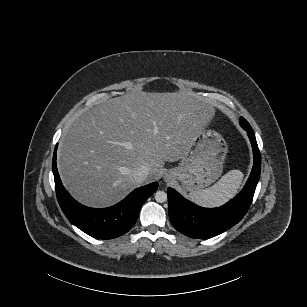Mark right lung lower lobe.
<instances>
[{
    "label": "right lung lower lobe",
    "instance_id": "obj_1",
    "mask_svg": "<svg viewBox=\"0 0 307 307\" xmlns=\"http://www.w3.org/2000/svg\"><path fill=\"white\" fill-rule=\"evenodd\" d=\"M56 149L52 170L58 202L68 220L86 234L98 239H112L128 232L135 224L143 203L157 190L158 183L140 187L118 204L104 209L79 204L65 190L56 167Z\"/></svg>",
    "mask_w": 307,
    "mask_h": 307
}]
</instances>
